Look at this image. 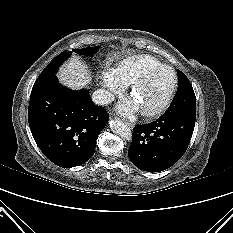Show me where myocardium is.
<instances>
[{
	"mask_svg": "<svg viewBox=\"0 0 233 233\" xmlns=\"http://www.w3.org/2000/svg\"><path fill=\"white\" fill-rule=\"evenodd\" d=\"M158 71H165L171 74L172 76V83L171 86L166 94V96L164 97V99L155 107L150 108V109H140V114L144 117H154L157 116L161 113H163L167 107L170 105L176 88H177V76L175 71L165 65H161V66H157V67H152L147 69L146 71H144L139 77H137L130 85V95L131 97L134 96L136 90L144 83L146 82V80L155 72Z\"/></svg>",
	"mask_w": 233,
	"mask_h": 233,
	"instance_id": "1",
	"label": "myocardium"
}]
</instances>
